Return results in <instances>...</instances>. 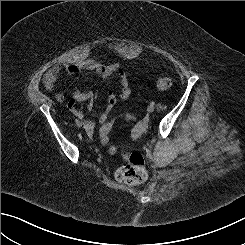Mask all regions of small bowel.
Wrapping results in <instances>:
<instances>
[{
    "instance_id": "c3829d8e",
    "label": "small bowel",
    "mask_w": 245,
    "mask_h": 245,
    "mask_svg": "<svg viewBox=\"0 0 245 245\" xmlns=\"http://www.w3.org/2000/svg\"><path fill=\"white\" fill-rule=\"evenodd\" d=\"M83 71L92 72L102 80H106L113 75H117L120 81V90L118 94L113 90H109L107 92L106 107L96 121L87 118L86 116V111H89L93 106L94 93L92 91H73L71 98L68 101V108L73 115L84 121L88 130L92 131L97 124H104L106 122L110 112L116 105L118 98L122 100L127 99L130 96L131 91L127 78L118 63L102 64L91 58L53 66L44 75V87L46 90L53 92L55 90V83L62 73L75 76ZM55 99L57 102L63 103L65 101V96L61 92H56ZM79 102H87L86 110L76 107V104Z\"/></svg>"
}]
</instances>
